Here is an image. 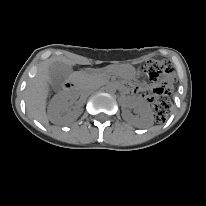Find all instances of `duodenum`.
<instances>
[{
  "mask_svg": "<svg viewBox=\"0 0 206 206\" xmlns=\"http://www.w3.org/2000/svg\"><path fill=\"white\" fill-rule=\"evenodd\" d=\"M77 87L76 82L73 79L66 81L64 84V89L67 91H73Z\"/></svg>",
  "mask_w": 206,
  "mask_h": 206,
  "instance_id": "410a0bca",
  "label": "duodenum"
}]
</instances>
